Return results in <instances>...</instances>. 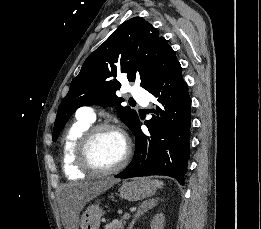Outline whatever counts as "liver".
Instances as JSON below:
<instances>
[{"instance_id": "6515ba94", "label": "liver", "mask_w": 261, "mask_h": 229, "mask_svg": "<svg viewBox=\"0 0 261 229\" xmlns=\"http://www.w3.org/2000/svg\"><path fill=\"white\" fill-rule=\"evenodd\" d=\"M120 183L119 179H114V177H106V179H100V181H88V183H78V185H73V187H69V191L73 197L76 199V211L80 213L81 209H83L86 203L95 199L97 195H101V193H105L107 189H111L113 185H117ZM69 209V213H67ZM65 209V217H69V227L71 229H78L77 221L74 219L73 211L68 207Z\"/></svg>"}]
</instances>
